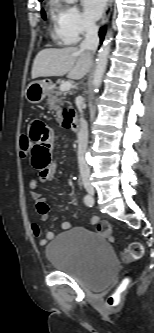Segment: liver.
Segmentation results:
<instances>
[{"mask_svg": "<svg viewBox=\"0 0 154 333\" xmlns=\"http://www.w3.org/2000/svg\"><path fill=\"white\" fill-rule=\"evenodd\" d=\"M92 63L91 53L78 47L61 49L46 48L35 57L31 77L63 76L79 80L89 71Z\"/></svg>", "mask_w": 154, "mask_h": 333, "instance_id": "liver-1", "label": "liver"}]
</instances>
